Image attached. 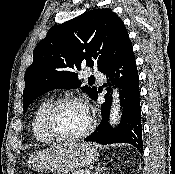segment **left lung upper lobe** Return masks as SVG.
I'll use <instances>...</instances> for the list:
<instances>
[{"label":"left lung upper lobe","mask_w":175,"mask_h":174,"mask_svg":"<svg viewBox=\"0 0 175 174\" xmlns=\"http://www.w3.org/2000/svg\"><path fill=\"white\" fill-rule=\"evenodd\" d=\"M131 43L123 21L110 9H94L52 27L33 52L25 73L24 113L30 103L53 89L79 88L75 70L82 65L105 72ZM82 90L93 99L95 87Z\"/></svg>","instance_id":"5c2ea615"}]
</instances>
